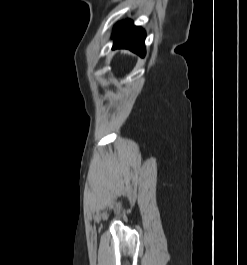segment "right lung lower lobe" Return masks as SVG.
<instances>
[{
	"instance_id": "right-lung-lower-lobe-1",
	"label": "right lung lower lobe",
	"mask_w": 247,
	"mask_h": 265,
	"mask_svg": "<svg viewBox=\"0 0 247 265\" xmlns=\"http://www.w3.org/2000/svg\"><path fill=\"white\" fill-rule=\"evenodd\" d=\"M113 48H126L141 56H144L145 32L132 24L131 21H123L117 24Z\"/></svg>"
}]
</instances>
